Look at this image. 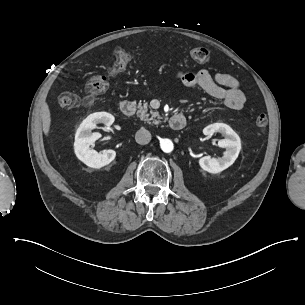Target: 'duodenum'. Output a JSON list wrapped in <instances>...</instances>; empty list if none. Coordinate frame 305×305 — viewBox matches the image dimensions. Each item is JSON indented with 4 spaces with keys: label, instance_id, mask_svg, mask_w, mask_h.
Returning a JSON list of instances; mask_svg holds the SVG:
<instances>
[{
    "label": "duodenum",
    "instance_id": "obj_1",
    "mask_svg": "<svg viewBox=\"0 0 305 305\" xmlns=\"http://www.w3.org/2000/svg\"><path fill=\"white\" fill-rule=\"evenodd\" d=\"M120 112L124 117H130L136 112V105L131 101H123L120 104ZM185 117L181 113H176L170 117L169 124L173 130H180L185 126Z\"/></svg>",
    "mask_w": 305,
    "mask_h": 305
}]
</instances>
